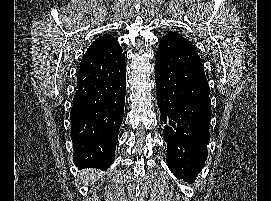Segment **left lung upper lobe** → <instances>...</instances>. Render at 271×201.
I'll list each match as a JSON object with an SVG mask.
<instances>
[{
    "label": "left lung upper lobe",
    "instance_id": "obj_1",
    "mask_svg": "<svg viewBox=\"0 0 271 201\" xmlns=\"http://www.w3.org/2000/svg\"><path fill=\"white\" fill-rule=\"evenodd\" d=\"M174 35H176V33H175V32H171V33L166 34V35L163 36V37H171V36H174ZM163 37H162V38H163Z\"/></svg>",
    "mask_w": 271,
    "mask_h": 201
}]
</instances>
